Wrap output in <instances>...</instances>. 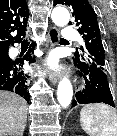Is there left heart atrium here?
I'll use <instances>...</instances> for the list:
<instances>
[{
    "label": "left heart atrium",
    "instance_id": "obj_1",
    "mask_svg": "<svg viewBox=\"0 0 117 136\" xmlns=\"http://www.w3.org/2000/svg\"><path fill=\"white\" fill-rule=\"evenodd\" d=\"M49 66L52 67V68H54V67L56 66V61H55V59H50V61H49Z\"/></svg>",
    "mask_w": 117,
    "mask_h": 136
}]
</instances>
